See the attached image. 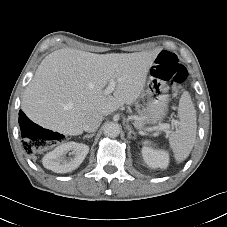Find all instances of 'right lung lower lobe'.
Masks as SVG:
<instances>
[{
    "label": "right lung lower lobe",
    "mask_w": 227,
    "mask_h": 227,
    "mask_svg": "<svg viewBox=\"0 0 227 227\" xmlns=\"http://www.w3.org/2000/svg\"><path fill=\"white\" fill-rule=\"evenodd\" d=\"M19 124L21 127V131H24V129L28 125L33 124V123L27 118V116L22 111H20L19 112Z\"/></svg>",
    "instance_id": "obj_1"
}]
</instances>
